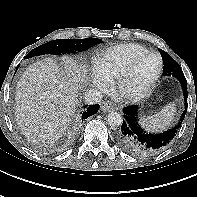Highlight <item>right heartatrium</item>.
Returning <instances> with one entry per match:
<instances>
[{
	"instance_id": "right-heart-atrium-1",
	"label": "right heart atrium",
	"mask_w": 197,
	"mask_h": 197,
	"mask_svg": "<svg viewBox=\"0 0 197 197\" xmlns=\"http://www.w3.org/2000/svg\"><path fill=\"white\" fill-rule=\"evenodd\" d=\"M91 84L99 91H105L109 86V80L98 73H93L90 78Z\"/></svg>"
}]
</instances>
